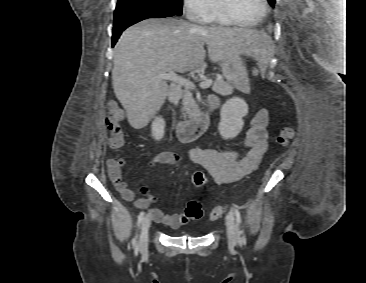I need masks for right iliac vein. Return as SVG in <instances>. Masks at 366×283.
Masks as SVG:
<instances>
[{
  "label": "right iliac vein",
  "mask_w": 366,
  "mask_h": 283,
  "mask_svg": "<svg viewBox=\"0 0 366 283\" xmlns=\"http://www.w3.org/2000/svg\"><path fill=\"white\" fill-rule=\"evenodd\" d=\"M151 225V217L150 215H147L142 222V226H141V234H140V239H139V250L141 252H145L148 248V233H149V228Z\"/></svg>",
  "instance_id": "obj_1"
}]
</instances>
